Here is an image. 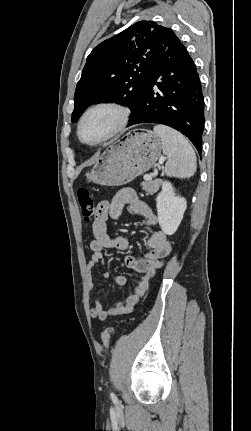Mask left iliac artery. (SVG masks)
<instances>
[{
    "label": "left iliac artery",
    "instance_id": "left-iliac-artery-1",
    "mask_svg": "<svg viewBox=\"0 0 251 431\" xmlns=\"http://www.w3.org/2000/svg\"><path fill=\"white\" fill-rule=\"evenodd\" d=\"M111 395H112V397H114V394H113V393H112Z\"/></svg>",
    "mask_w": 251,
    "mask_h": 431
}]
</instances>
